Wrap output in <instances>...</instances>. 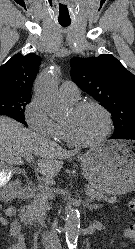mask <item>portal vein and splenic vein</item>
Returning <instances> with one entry per match:
<instances>
[{
    "label": "portal vein and splenic vein",
    "mask_w": 135,
    "mask_h": 249,
    "mask_svg": "<svg viewBox=\"0 0 135 249\" xmlns=\"http://www.w3.org/2000/svg\"><path fill=\"white\" fill-rule=\"evenodd\" d=\"M26 160H27L28 163H31V162H33V157H27ZM38 189L40 191H42V190H48L47 187L43 186L42 184L38 185ZM52 195H53V193H52Z\"/></svg>",
    "instance_id": "1"
}]
</instances>
